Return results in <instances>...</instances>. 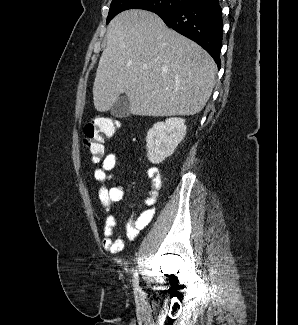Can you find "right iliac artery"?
Instances as JSON below:
<instances>
[{
	"label": "right iliac artery",
	"mask_w": 298,
	"mask_h": 325,
	"mask_svg": "<svg viewBox=\"0 0 298 325\" xmlns=\"http://www.w3.org/2000/svg\"><path fill=\"white\" fill-rule=\"evenodd\" d=\"M133 287H134V290L135 292H138L139 291V280H138V273L137 272H134L133 274Z\"/></svg>",
	"instance_id": "82829eb1"
}]
</instances>
